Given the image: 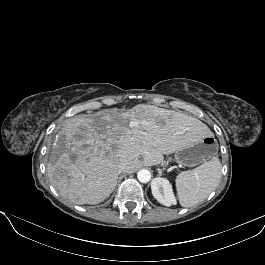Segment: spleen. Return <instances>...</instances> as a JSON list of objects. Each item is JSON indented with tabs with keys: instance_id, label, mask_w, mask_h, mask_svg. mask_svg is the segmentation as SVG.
<instances>
[{
	"instance_id": "1",
	"label": "spleen",
	"mask_w": 265,
	"mask_h": 265,
	"mask_svg": "<svg viewBox=\"0 0 265 265\" xmlns=\"http://www.w3.org/2000/svg\"><path fill=\"white\" fill-rule=\"evenodd\" d=\"M221 162L217 157L176 177V189L181 206L191 207L205 200L221 179Z\"/></svg>"
}]
</instances>
